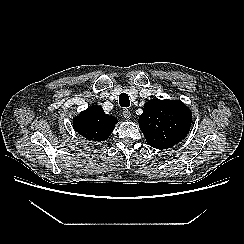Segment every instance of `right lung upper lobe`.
I'll return each mask as SVG.
<instances>
[{"label":"right lung upper lobe","mask_w":244,"mask_h":244,"mask_svg":"<svg viewBox=\"0 0 244 244\" xmlns=\"http://www.w3.org/2000/svg\"><path fill=\"white\" fill-rule=\"evenodd\" d=\"M117 123L115 117L105 114L98 105H93L73 120V127L81 136L89 141H105Z\"/></svg>","instance_id":"1"}]
</instances>
